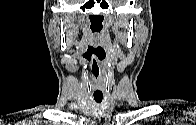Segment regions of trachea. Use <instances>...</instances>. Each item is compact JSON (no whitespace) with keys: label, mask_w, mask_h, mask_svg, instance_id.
Instances as JSON below:
<instances>
[{"label":"trachea","mask_w":196,"mask_h":125,"mask_svg":"<svg viewBox=\"0 0 196 125\" xmlns=\"http://www.w3.org/2000/svg\"><path fill=\"white\" fill-rule=\"evenodd\" d=\"M96 102H97V103H100L101 101H100V100H96Z\"/></svg>","instance_id":"trachea-1"}]
</instances>
